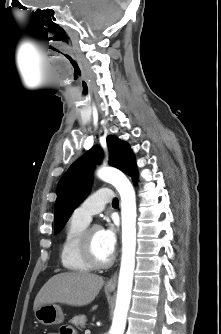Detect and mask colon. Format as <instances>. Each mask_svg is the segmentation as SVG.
Wrapping results in <instances>:
<instances>
[{
	"mask_svg": "<svg viewBox=\"0 0 221 334\" xmlns=\"http://www.w3.org/2000/svg\"><path fill=\"white\" fill-rule=\"evenodd\" d=\"M48 334H57V333H54V332H50V333H48Z\"/></svg>",
	"mask_w": 221,
	"mask_h": 334,
	"instance_id": "obj_1",
	"label": "colon"
}]
</instances>
